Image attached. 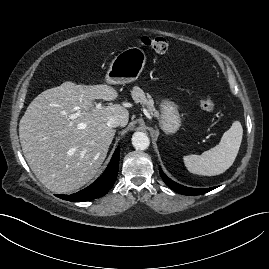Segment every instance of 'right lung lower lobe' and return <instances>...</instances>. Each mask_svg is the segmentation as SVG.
Listing matches in <instances>:
<instances>
[{
  "label": "right lung lower lobe",
  "instance_id": "98d812e1",
  "mask_svg": "<svg viewBox=\"0 0 269 269\" xmlns=\"http://www.w3.org/2000/svg\"><path fill=\"white\" fill-rule=\"evenodd\" d=\"M120 147L115 150L113 157L105 172L90 186L71 195H57L59 198L69 201H87L105 195L113 186L119 167Z\"/></svg>",
  "mask_w": 269,
  "mask_h": 269
}]
</instances>
